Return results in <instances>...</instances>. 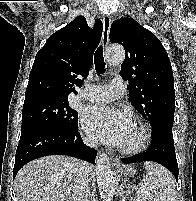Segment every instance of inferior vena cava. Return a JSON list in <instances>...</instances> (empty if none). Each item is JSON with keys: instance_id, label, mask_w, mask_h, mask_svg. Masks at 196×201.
<instances>
[{"instance_id": "obj_1", "label": "inferior vena cava", "mask_w": 196, "mask_h": 201, "mask_svg": "<svg viewBox=\"0 0 196 201\" xmlns=\"http://www.w3.org/2000/svg\"><path fill=\"white\" fill-rule=\"evenodd\" d=\"M85 144L95 148L96 144L88 139L84 140ZM89 194V178L87 166L85 162H79L75 169L74 186H73V201H88Z\"/></svg>"}]
</instances>
